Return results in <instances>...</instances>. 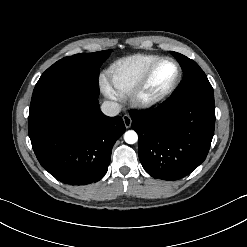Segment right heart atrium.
I'll return each instance as SVG.
<instances>
[{
    "label": "right heart atrium",
    "instance_id": "1",
    "mask_svg": "<svg viewBox=\"0 0 247 247\" xmlns=\"http://www.w3.org/2000/svg\"><path fill=\"white\" fill-rule=\"evenodd\" d=\"M100 87L107 96L111 98L116 97V93L114 92V90L112 89V87L105 78L100 79Z\"/></svg>",
    "mask_w": 247,
    "mask_h": 247
}]
</instances>
